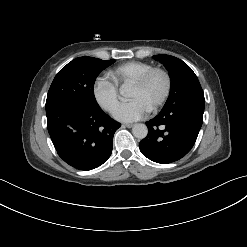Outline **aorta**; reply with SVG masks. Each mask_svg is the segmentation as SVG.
I'll return each mask as SVG.
<instances>
[{"instance_id": "obj_1", "label": "aorta", "mask_w": 247, "mask_h": 247, "mask_svg": "<svg viewBox=\"0 0 247 247\" xmlns=\"http://www.w3.org/2000/svg\"><path fill=\"white\" fill-rule=\"evenodd\" d=\"M128 91V87L126 85H123L120 89V94L122 96H126ZM132 133L134 137L138 139H144L148 134V128L145 124L137 123L132 128Z\"/></svg>"}]
</instances>
